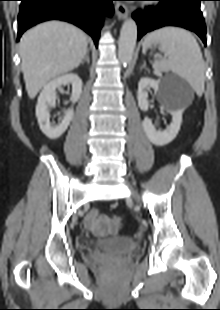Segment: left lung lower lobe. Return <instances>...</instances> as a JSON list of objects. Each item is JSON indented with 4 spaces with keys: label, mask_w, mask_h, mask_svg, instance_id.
Here are the masks:
<instances>
[{
    "label": "left lung lower lobe",
    "mask_w": 220,
    "mask_h": 310,
    "mask_svg": "<svg viewBox=\"0 0 220 310\" xmlns=\"http://www.w3.org/2000/svg\"><path fill=\"white\" fill-rule=\"evenodd\" d=\"M158 1L142 13L136 11L133 18L138 25V40L152 30L164 26H178L195 32L206 45V26L200 10L203 0H149Z\"/></svg>",
    "instance_id": "0a47b994"
}]
</instances>
